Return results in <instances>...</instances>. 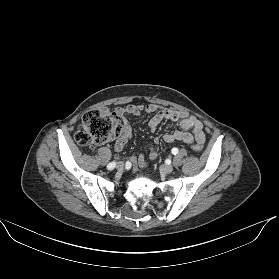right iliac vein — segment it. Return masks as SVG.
Returning <instances> with one entry per match:
<instances>
[{"mask_svg": "<svg viewBox=\"0 0 279 279\" xmlns=\"http://www.w3.org/2000/svg\"><path fill=\"white\" fill-rule=\"evenodd\" d=\"M116 168H117L118 170H123L124 164H123L122 162H118L117 165H116Z\"/></svg>", "mask_w": 279, "mask_h": 279, "instance_id": "obj_1", "label": "right iliac vein"}]
</instances>
